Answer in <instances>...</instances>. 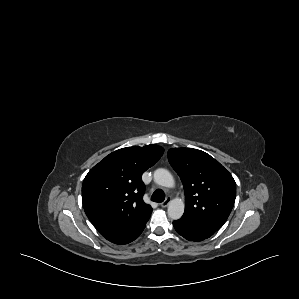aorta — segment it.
Here are the masks:
<instances>
[{"label":"aorta","instance_id":"1","mask_svg":"<svg viewBox=\"0 0 299 299\" xmlns=\"http://www.w3.org/2000/svg\"><path fill=\"white\" fill-rule=\"evenodd\" d=\"M154 182L160 186L172 188L175 185V181L171 173L163 168L156 169L154 171ZM184 202L180 198H175L169 202L168 216L177 220L180 219L184 213Z\"/></svg>","mask_w":299,"mask_h":299}]
</instances>
